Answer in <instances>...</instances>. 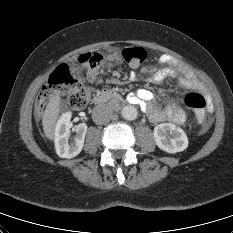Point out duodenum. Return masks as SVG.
<instances>
[{
	"label": "duodenum",
	"instance_id": "duodenum-1",
	"mask_svg": "<svg viewBox=\"0 0 233 233\" xmlns=\"http://www.w3.org/2000/svg\"><path fill=\"white\" fill-rule=\"evenodd\" d=\"M123 101V98L114 90L112 89H103L100 91L96 98V104H104V103H111L117 104Z\"/></svg>",
	"mask_w": 233,
	"mask_h": 233
}]
</instances>
